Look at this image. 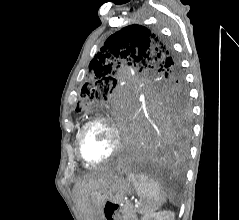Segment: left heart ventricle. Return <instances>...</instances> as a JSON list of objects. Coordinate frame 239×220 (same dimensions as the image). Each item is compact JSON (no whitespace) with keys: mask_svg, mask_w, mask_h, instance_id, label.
<instances>
[{"mask_svg":"<svg viewBox=\"0 0 239 220\" xmlns=\"http://www.w3.org/2000/svg\"><path fill=\"white\" fill-rule=\"evenodd\" d=\"M114 142L112 130L107 125L97 124L86 132L82 151L88 160L99 161L106 158L112 152Z\"/></svg>","mask_w":239,"mask_h":220,"instance_id":"obj_1","label":"left heart ventricle"}]
</instances>
